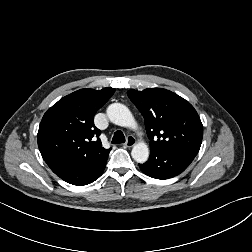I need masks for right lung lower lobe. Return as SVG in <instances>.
<instances>
[{
  "instance_id": "1",
  "label": "right lung lower lobe",
  "mask_w": 252,
  "mask_h": 252,
  "mask_svg": "<svg viewBox=\"0 0 252 252\" xmlns=\"http://www.w3.org/2000/svg\"><path fill=\"white\" fill-rule=\"evenodd\" d=\"M107 160L90 162L66 170L58 176L73 185H87L98 179L106 166Z\"/></svg>"
}]
</instances>
